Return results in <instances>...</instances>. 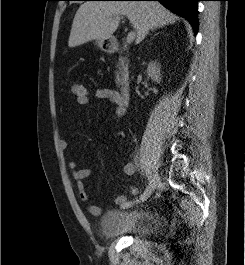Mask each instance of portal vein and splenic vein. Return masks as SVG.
<instances>
[{
	"label": "portal vein and splenic vein",
	"instance_id": "obj_1",
	"mask_svg": "<svg viewBox=\"0 0 245 265\" xmlns=\"http://www.w3.org/2000/svg\"><path fill=\"white\" fill-rule=\"evenodd\" d=\"M135 36H136L135 33L131 31L130 33H128V36H127L126 42H127L128 44H131V43L134 41Z\"/></svg>",
	"mask_w": 245,
	"mask_h": 265
}]
</instances>
